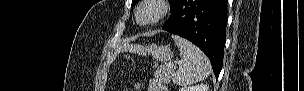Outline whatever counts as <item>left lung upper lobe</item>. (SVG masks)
Segmentation results:
<instances>
[{
	"instance_id": "left-lung-upper-lobe-1",
	"label": "left lung upper lobe",
	"mask_w": 304,
	"mask_h": 91,
	"mask_svg": "<svg viewBox=\"0 0 304 91\" xmlns=\"http://www.w3.org/2000/svg\"><path fill=\"white\" fill-rule=\"evenodd\" d=\"M139 0H132V5H135ZM179 0H169V4L171 7V10L174 8V6L177 4Z\"/></svg>"
}]
</instances>
